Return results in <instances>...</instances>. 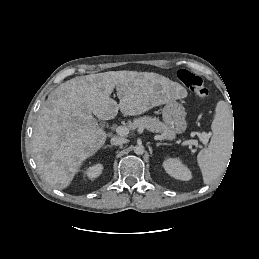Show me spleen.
I'll list each match as a JSON object with an SVG mask.
<instances>
[{"label": "spleen", "instance_id": "3e777b00", "mask_svg": "<svg viewBox=\"0 0 259 259\" xmlns=\"http://www.w3.org/2000/svg\"><path fill=\"white\" fill-rule=\"evenodd\" d=\"M211 129L213 135L208 147L197 155L205 184H210L222 175L232 151V114L226 102L217 103Z\"/></svg>", "mask_w": 259, "mask_h": 259}]
</instances>
